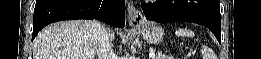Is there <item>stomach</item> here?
Masks as SVG:
<instances>
[{
    "label": "stomach",
    "mask_w": 261,
    "mask_h": 59,
    "mask_svg": "<svg viewBox=\"0 0 261 59\" xmlns=\"http://www.w3.org/2000/svg\"><path fill=\"white\" fill-rule=\"evenodd\" d=\"M138 32L144 40L151 44H158L162 42L164 37V30L161 26L153 22H143L136 26Z\"/></svg>",
    "instance_id": "0dacf381"
}]
</instances>
